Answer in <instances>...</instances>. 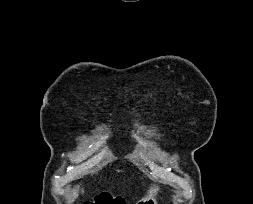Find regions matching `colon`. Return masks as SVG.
I'll list each match as a JSON object with an SVG mask.
<instances>
[{"mask_svg": "<svg viewBox=\"0 0 253 204\" xmlns=\"http://www.w3.org/2000/svg\"><path fill=\"white\" fill-rule=\"evenodd\" d=\"M83 204H124V203L116 198H113L108 192H101L93 199L83 202Z\"/></svg>", "mask_w": 253, "mask_h": 204, "instance_id": "5ec220e1", "label": "colon"}]
</instances>
